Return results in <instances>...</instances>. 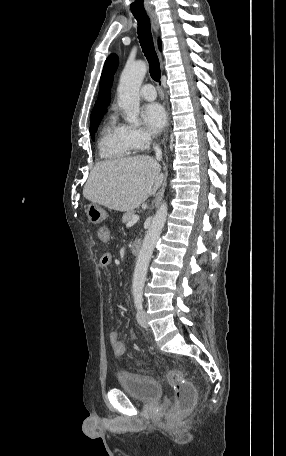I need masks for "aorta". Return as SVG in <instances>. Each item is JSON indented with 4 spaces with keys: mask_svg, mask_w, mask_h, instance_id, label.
I'll use <instances>...</instances> for the list:
<instances>
[{
    "mask_svg": "<svg viewBox=\"0 0 286 456\" xmlns=\"http://www.w3.org/2000/svg\"><path fill=\"white\" fill-rule=\"evenodd\" d=\"M146 72L147 66L144 61L127 64L120 76L117 89L118 104L126 114L125 120L136 126L139 125V89ZM167 214V203L163 202L153 217L139 251L132 280L133 291H142L144 288L149 262L165 225Z\"/></svg>",
    "mask_w": 286,
    "mask_h": 456,
    "instance_id": "aorta-1",
    "label": "aorta"
}]
</instances>
